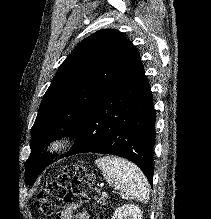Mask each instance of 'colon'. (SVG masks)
I'll use <instances>...</instances> for the list:
<instances>
[{
    "label": "colon",
    "instance_id": "colon-1",
    "mask_svg": "<svg viewBox=\"0 0 211 219\" xmlns=\"http://www.w3.org/2000/svg\"><path fill=\"white\" fill-rule=\"evenodd\" d=\"M68 182H71V190H67ZM91 184L92 178L84 167L68 165L55 179L45 184L36 197V206L43 217H51L63 203L75 206L87 202L86 193Z\"/></svg>",
    "mask_w": 211,
    "mask_h": 219
}]
</instances>
